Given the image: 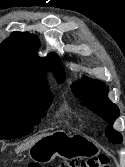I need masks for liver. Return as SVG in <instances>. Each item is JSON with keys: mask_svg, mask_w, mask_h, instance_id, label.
I'll use <instances>...</instances> for the list:
<instances>
[{"mask_svg": "<svg viewBox=\"0 0 125 167\" xmlns=\"http://www.w3.org/2000/svg\"><path fill=\"white\" fill-rule=\"evenodd\" d=\"M48 134H41V135H38L34 138H32L31 140L21 144L20 146H18L16 149H15V152L16 153H19V152H22L24 150H27L29 149L32 145H34L38 140H40L41 138H43L44 136H46Z\"/></svg>", "mask_w": 125, "mask_h": 167, "instance_id": "6515ba94", "label": "liver"}]
</instances>
